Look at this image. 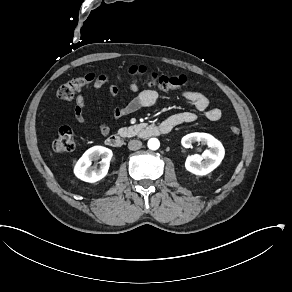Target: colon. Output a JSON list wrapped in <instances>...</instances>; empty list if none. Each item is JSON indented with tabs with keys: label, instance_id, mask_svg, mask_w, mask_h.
<instances>
[{
	"label": "colon",
	"instance_id": "1",
	"mask_svg": "<svg viewBox=\"0 0 292 292\" xmlns=\"http://www.w3.org/2000/svg\"><path fill=\"white\" fill-rule=\"evenodd\" d=\"M102 75L89 73L84 77L75 78L63 84L58 92V99L61 103H67L73 96L90 86H94ZM128 77L132 81H144L149 86L159 90H182L188 87L189 79L185 75L176 77L159 76L156 72L143 66H133L128 69ZM233 135L239 134V128L231 126ZM75 147V134L70 128H62L54 141V150L59 153L72 151Z\"/></svg>",
	"mask_w": 292,
	"mask_h": 292
}]
</instances>
